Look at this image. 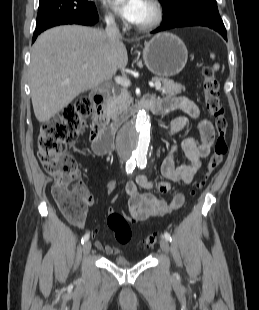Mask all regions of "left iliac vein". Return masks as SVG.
I'll return each instance as SVG.
<instances>
[{
    "mask_svg": "<svg viewBox=\"0 0 259 310\" xmlns=\"http://www.w3.org/2000/svg\"><path fill=\"white\" fill-rule=\"evenodd\" d=\"M160 247L162 249V251L165 253V254H168L169 251H170V247H169V243H168V240H166L165 238H161L160 240Z\"/></svg>",
    "mask_w": 259,
    "mask_h": 310,
    "instance_id": "left-iliac-vein-1",
    "label": "left iliac vein"
}]
</instances>
